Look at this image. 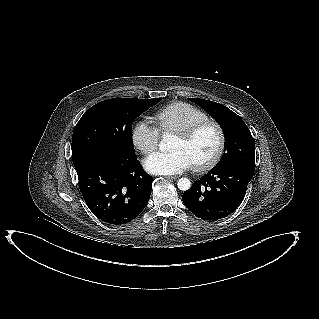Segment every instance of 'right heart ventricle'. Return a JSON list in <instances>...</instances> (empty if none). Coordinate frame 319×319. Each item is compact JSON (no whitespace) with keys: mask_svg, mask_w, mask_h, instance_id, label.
<instances>
[{"mask_svg":"<svg viewBox=\"0 0 319 319\" xmlns=\"http://www.w3.org/2000/svg\"><path fill=\"white\" fill-rule=\"evenodd\" d=\"M152 119L160 132L174 133L198 121L208 119V116L191 104L174 102L157 110Z\"/></svg>","mask_w":319,"mask_h":319,"instance_id":"obj_1","label":"right heart ventricle"}]
</instances>
